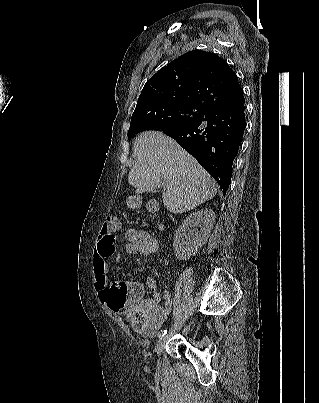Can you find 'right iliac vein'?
<instances>
[{
    "mask_svg": "<svg viewBox=\"0 0 319 403\" xmlns=\"http://www.w3.org/2000/svg\"><path fill=\"white\" fill-rule=\"evenodd\" d=\"M166 340H167V336L166 335H164V336H161L159 339H158V341L156 342V345H155V352H156V354L159 356L160 354H161V352L163 351V348H164V345H165V342H166ZM158 365H159V361H158Z\"/></svg>",
    "mask_w": 319,
    "mask_h": 403,
    "instance_id": "right-iliac-vein-1",
    "label": "right iliac vein"
}]
</instances>
